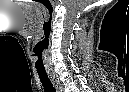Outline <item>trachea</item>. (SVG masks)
Instances as JSON below:
<instances>
[{
	"instance_id": "trachea-1",
	"label": "trachea",
	"mask_w": 129,
	"mask_h": 92,
	"mask_svg": "<svg viewBox=\"0 0 129 92\" xmlns=\"http://www.w3.org/2000/svg\"><path fill=\"white\" fill-rule=\"evenodd\" d=\"M37 73L44 88V92H56L47 73L45 71H37Z\"/></svg>"
}]
</instances>
